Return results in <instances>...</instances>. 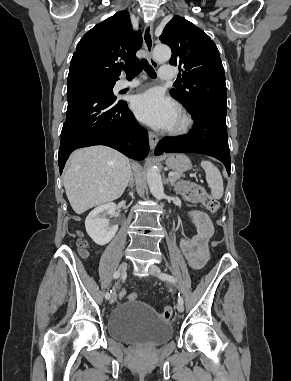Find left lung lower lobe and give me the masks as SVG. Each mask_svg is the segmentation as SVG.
<instances>
[{"label":"left lung lower lobe","instance_id":"obj_1","mask_svg":"<svg viewBox=\"0 0 291 381\" xmlns=\"http://www.w3.org/2000/svg\"><path fill=\"white\" fill-rule=\"evenodd\" d=\"M189 112L194 119L191 132L179 137H164L158 143L155 154L164 152L205 154L220 160L230 175L226 108L200 106Z\"/></svg>","mask_w":291,"mask_h":381}]
</instances>
